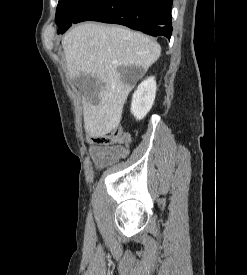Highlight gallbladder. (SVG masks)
Wrapping results in <instances>:
<instances>
[{"label": "gallbladder", "mask_w": 247, "mask_h": 275, "mask_svg": "<svg viewBox=\"0 0 247 275\" xmlns=\"http://www.w3.org/2000/svg\"><path fill=\"white\" fill-rule=\"evenodd\" d=\"M73 83L84 93L86 97L96 95L99 91L97 79L83 73L74 77Z\"/></svg>", "instance_id": "1"}]
</instances>
